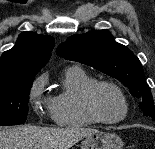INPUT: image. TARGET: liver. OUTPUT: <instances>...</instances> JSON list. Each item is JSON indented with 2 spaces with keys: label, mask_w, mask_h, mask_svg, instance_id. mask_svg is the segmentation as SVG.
Here are the masks:
<instances>
[{
  "label": "liver",
  "mask_w": 155,
  "mask_h": 149,
  "mask_svg": "<svg viewBox=\"0 0 155 149\" xmlns=\"http://www.w3.org/2000/svg\"><path fill=\"white\" fill-rule=\"evenodd\" d=\"M95 129L41 128L36 126L0 129V149H70Z\"/></svg>",
  "instance_id": "obj_1"
}]
</instances>
